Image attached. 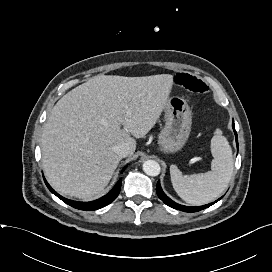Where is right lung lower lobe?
<instances>
[{"label": "right lung lower lobe", "mask_w": 272, "mask_h": 272, "mask_svg": "<svg viewBox=\"0 0 272 272\" xmlns=\"http://www.w3.org/2000/svg\"><path fill=\"white\" fill-rule=\"evenodd\" d=\"M44 181H45L47 187L49 188V190L53 194H55L58 198H60L62 201L67 203L68 205H70V206H72V207H74L76 209H81V210H97V209H100L102 207H105L106 205L110 204L112 201L115 200V198L120 193L122 178L119 179V181L115 184L113 189L107 195L101 197L98 200L92 201V202H77V201H72V200L66 199V198L60 196L59 194H57L50 187V185L47 183L45 178H44Z\"/></svg>", "instance_id": "98d812e1"}]
</instances>
